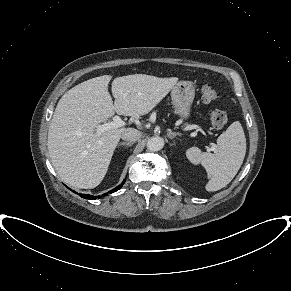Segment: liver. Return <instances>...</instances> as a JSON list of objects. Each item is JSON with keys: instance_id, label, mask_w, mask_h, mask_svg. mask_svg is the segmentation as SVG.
<instances>
[{"instance_id": "1", "label": "liver", "mask_w": 291, "mask_h": 291, "mask_svg": "<svg viewBox=\"0 0 291 291\" xmlns=\"http://www.w3.org/2000/svg\"><path fill=\"white\" fill-rule=\"evenodd\" d=\"M110 75L84 81L59 100L48 130L51 162L67 184L91 189L105 177L113 152L126 128L98 135L96 128L116 112L129 124L148 114L177 84L178 78L146 74L117 77L108 92Z\"/></svg>"}]
</instances>
